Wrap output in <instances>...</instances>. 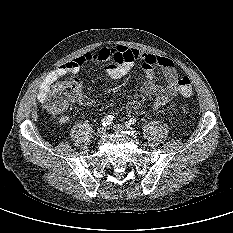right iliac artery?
<instances>
[{"instance_id":"right-iliac-artery-1","label":"right iliac artery","mask_w":233,"mask_h":233,"mask_svg":"<svg viewBox=\"0 0 233 233\" xmlns=\"http://www.w3.org/2000/svg\"><path fill=\"white\" fill-rule=\"evenodd\" d=\"M114 121L113 115H107L102 119V125L107 126L110 125Z\"/></svg>"}]
</instances>
